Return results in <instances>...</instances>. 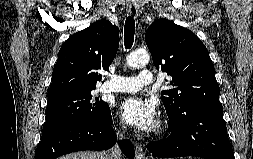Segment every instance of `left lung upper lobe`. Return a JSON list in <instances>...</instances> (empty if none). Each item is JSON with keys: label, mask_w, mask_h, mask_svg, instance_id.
<instances>
[{"label": "left lung upper lobe", "mask_w": 253, "mask_h": 159, "mask_svg": "<svg viewBox=\"0 0 253 159\" xmlns=\"http://www.w3.org/2000/svg\"><path fill=\"white\" fill-rule=\"evenodd\" d=\"M145 41L154 65L172 77L162 101L170 121L193 105L221 106L215 68L202 41L190 30L170 20L154 21Z\"/></svg>", "instance_id": "1"}]
</instances>
